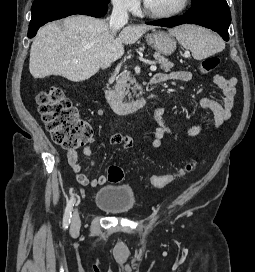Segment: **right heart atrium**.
<instances>
[{
    "label": "right heart atrium",
    "mask_w": 255,
    "mask_h": 272,
    "mask_svg": "<svg viewBox=\"0 0 255 272\" xmlns=\"http://www.w3.org/2000/svg\"><path fill=\"white\" fill-rule=\"evenodd\" d=\"M113 7L123 13H135L139 8L138 0H111Z\"/></svg>",
    "instance_id": "d8ad5b80"
}]
</instances>
